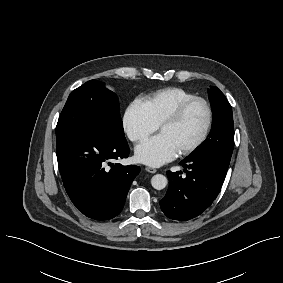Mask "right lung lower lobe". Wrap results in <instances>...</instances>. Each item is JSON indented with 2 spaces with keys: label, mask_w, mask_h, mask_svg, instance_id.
Masks as SVG:
<instances>
[{
  "label": "right lung lower lobe",
  "mask_w": 283,
  "mask_h": 283,
  "mask_svg": "<svg viewBox=\"0 0 283 283\" xmlns=\"http://www.w3.org/2000/svg\"><path fill=\"white\" fill-rule=\"evenodd\" d=\"M129 153L125 138L99 126H84L57 140L63 184L80 212L96 220H108L120 213L140 167L112 162L127 158Z\"/></svg>",
  "instance_id": "1"
}]
</instances>
